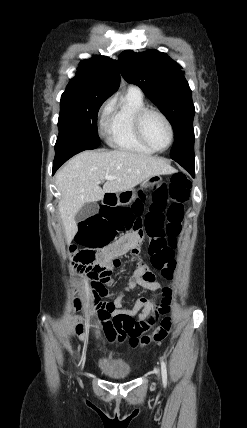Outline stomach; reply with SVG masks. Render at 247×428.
<instances>
[{
    "instance_id": "obj_1",
    "label": "stomach",
    "mask_w": 247,
    "mask_h": 428,
    "mask_svg": "<svg viewBox=\"0 0 247 428\" xmlns=\"http://www.w3.org/2000/svg\"><path fill=\"white\" fill-rule=\"evenodd\" d=\"M162 177L160 175L151 176L148 179L144 180L141 184L142 188H150L155 185H159L161 183ZM136 192L135 189H130L124 192H121L118 194L119 201L122 200V203H131L136 199Z\"/></svg>"
}]
</instances>
